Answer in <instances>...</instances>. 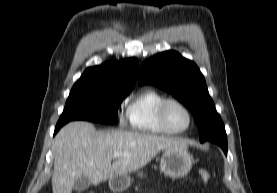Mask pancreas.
<instances>
[{
	"label": "pancreas",
	"mask_w": 277,
	"mask_h": 193,
	"mask_svg": "<svg viewBox=\"0 0 277 193\" xmlns=\"http://www.w3.org/2000/svg\"><path fill=\"white\" fill-rule=\"evenodd\" d=\"M138 176H139V177H142V176H143V172H139V173H138Z\"/></svg>",
	"instance_id": "cf45deb5"
}]
</instances>
